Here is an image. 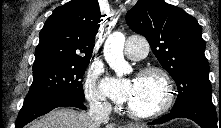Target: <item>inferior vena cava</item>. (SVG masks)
Returning <instances> with one entry per match:
<instances>
[{
  "label": "inferior vena cava",
  "mask_w": 221,
  "mask_h": 128,
  "mask_svg": "<svg viewBox=\"0 0 221 128\" xmlns=\"http://www.w3.org/2000/svg\"><path fill=\"white\" fill-rule=\"evenodd\" d=\"M111 107L107 104H101L97 101L90 102L89 116L95 123L107 122Z\"/></svg>",
  "instance_id": "inferior-vena-cava-1"
}]
</instances>
